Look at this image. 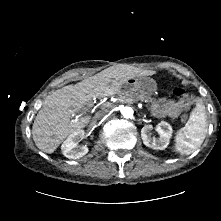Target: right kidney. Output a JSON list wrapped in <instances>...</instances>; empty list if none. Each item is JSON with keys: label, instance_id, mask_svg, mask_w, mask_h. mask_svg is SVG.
Returning a JSON list of instances; mask_svg holds the SVG:
<instances>
[{"label": "right kidney", "instance_id": "ca27d5eb", "mask_svg": "<svg viewBox=\"0 0 221 221\" xmlns=\"http://www.w3.org/2000/svg\"><path fill=\"white\" fill-rule=\"evenodd\" d=\"M84 130H79L71 134L62 144L61 150L65 157L69 159H79L88 153L87 146H78L84 138Z\"/></svg>", "mask_w": 221, "mask_h": 221}]
</instances>
